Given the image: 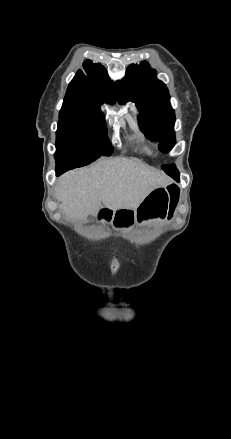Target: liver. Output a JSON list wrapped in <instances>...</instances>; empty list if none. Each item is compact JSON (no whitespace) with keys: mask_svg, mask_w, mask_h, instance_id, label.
<instances>
[{"mask_svg":"<svg viewBox=\"0 0 231 439\" xmlns=\"http://www.w3.org/2000/svg\"><path fill=\"white\" fill-rule=\"evenodd\" d=\"M169 183L164 172L120 157L67 172L59 178L55 193L65 215L85 221L102 204L114 211L135 209L152 190Z\"/></svg>","mask_w":231,"mask_h":439,"instance_id":"1","label":"liver"}]
</instances>
